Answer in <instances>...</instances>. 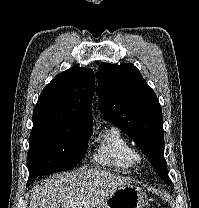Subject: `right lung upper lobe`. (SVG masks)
<instances>
[{"label":"right lung upper lobe","mask_w":199,"mask_h":208,"mask_svg":"<svg viewBox=\"0 0 199 208\" xmlns=\"http://www.w3.org/2000/svg\"><path fill=\"white\" fill-rule=\"evenodd\" d=\"M95 75L89 68L72 67L58 74L42 91L33 122L91 125Z\"/></svg>","instance_id":"right-lung-upper-lobe-1"}]
</instances>
